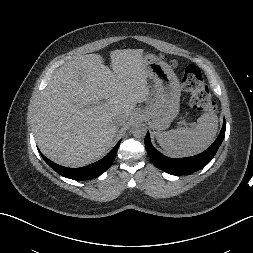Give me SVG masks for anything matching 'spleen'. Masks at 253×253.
Segmentation results:
<instances>
[{
  "instance_id": "1",
  "label": "spleen",
  "mask_w": 253,
  "mask_h": 253,
  "mask_svg": "<svg viewBox=\"0 0 253 253\" xmlns=\"http://www.w3.org/2000/svg\"><path fill=\"white\" fill-rule=\"evenodd\" d=\"M218 131V117L214 112H206L194 127H179L167 132H156L161 148L174 157H188L201 153L214 141Z\"/></svg>"
}]
</instances>
